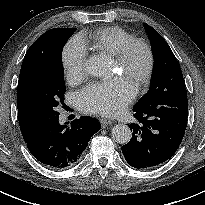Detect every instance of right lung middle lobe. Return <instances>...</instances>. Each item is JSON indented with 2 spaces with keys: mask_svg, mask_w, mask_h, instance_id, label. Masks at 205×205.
<instances>
[{
  "mask_svg": "<svg viewBox=\"0 0 205 205\" xmlns=\"http://www.w3.org/2000/svg\"><path fill=\"white\" fill-rule=\"evenodd\" d=\"M75 30L56 29L21 84L23 103L42 123L59 115L56 107L63 102L66 91L62 49Z\"/></svg>",
  "mask_w": 205,
  "mask_h": 205,
  "instance_id": "1",
  "label": "right lung middle lobe"
}]
</instances>
